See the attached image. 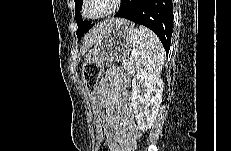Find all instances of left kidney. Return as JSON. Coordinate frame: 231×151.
Here are the masks:
<instances>
[{"mask_svg":"<svg viewBox=\"0 0 231 151\" xmlns=\"http://www.w3.org/2000/svg\"><path fill=\"white\" fill-rule=\"evenodd\" d=\"M163 81L140 69L132 81L131 105L138 127L147 131L153 125L162 101Z\"/></svg>","mask_w":231,"mask_h":151,"instance_id":"obj_1","label":"left kidney"}]
</instances>
